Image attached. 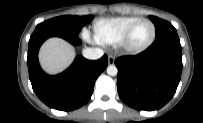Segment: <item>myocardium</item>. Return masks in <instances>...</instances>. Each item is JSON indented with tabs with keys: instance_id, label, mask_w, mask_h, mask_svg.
<instances>
[{
	"instance_id": "obj_1",
	"label": "myocardium",
	"mask_w": 203,
	"mask_h": 123,
	"mask_svg": "<svg viewBox=\"0 0 203 123\" xmlns=\"http://www.w3.org/2000/svg\"><path fill=\"white\" fill-rule=\"evenodd\" d=\"M142 22H148L152 26V36L149 39V41L146 42L144 45L139 46V47H133L129 44L130 36H131L133 30L135 29V27ZM156 32H157L156 26L153 23V21H151L150 19H147V18H140V19L136 20L135 22H133L130 26H128V28L124 31L120 40L118 41V44L123 51L130 53V54H137V53L145 51L147 48H149L153 44V42L156 38Z\"/></svg>"
}]
</instances>
